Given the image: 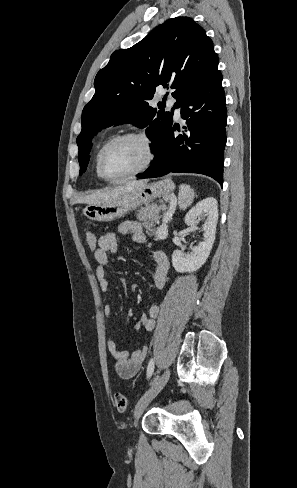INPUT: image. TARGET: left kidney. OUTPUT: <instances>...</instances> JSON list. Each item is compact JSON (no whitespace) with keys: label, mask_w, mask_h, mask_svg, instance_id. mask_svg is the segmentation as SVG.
Returning <instances> with one entry per match:
<instances>
[{"label":"left kidney","mask_w":297,"mask_h":488,"mask_svg":"<svg viewBox=\"0 0 297 488\" xmlns=\"http://www.w3.org/2000/svg\"><path fill=\"white\" fill-rule=\"evenodd\" d=\"M207 215L208 220L203 225V240L194 246L191 253L175 250L172 254V265L179 273L194 272L207 260L215 241L216 226L218 221V205L213 197L205 198L198 202L185 216V224L195 226L197 218Z\"/></svg>","instance_id":"obj_1"}]
</instances>
